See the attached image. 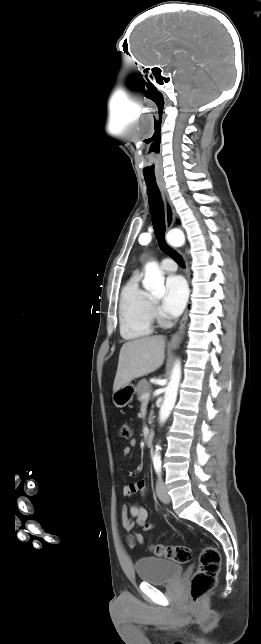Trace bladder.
<instances>
[{"label":"bladder","instance_id":"1","mask_svg":"<svg viewBox=\"0 0 261 644\" xmlns=\"http://www.w3.org/2000/svg\"><path fill=\"white\" fill-rule=\"evenodd\" d=\"M138 578L146 583L160 585L175 581L183 572L179 563L154 556H146L135 562Z\"/></svg>","mask_w":261,"mask_h":644}]
</instances>
